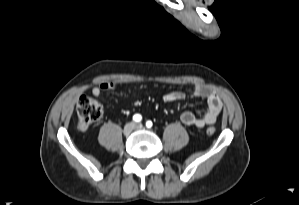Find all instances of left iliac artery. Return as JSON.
Listing matches in <instances>:
<instances>
[{
  "label": "left iliac artery",
  "mask_w": 299,
  "mask_h": 205,
  "mask_svg": "<svg viewBox=\"0 0 299 205\" xmlns=\"http://www.w3.org/2000/svg\"><path fill=\"white\" fill-rule=\"evenodd\" d=\"M152 125H153V123H152L151 121H147V122H146V126H147L148 128H151Z\"/></svg>",
  "instance_id": "obj_1"
}]
</instances>
